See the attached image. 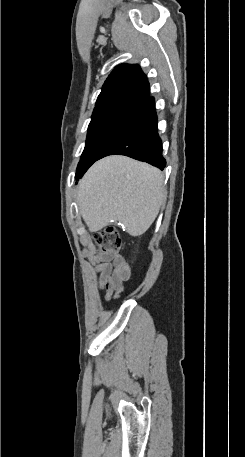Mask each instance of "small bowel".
Listing matches in <instances>:
<instances>
[{
	"mask_svg": "<svg viewBox=\"0 0 245 457\" xmlns=\"http://www.w3.org/2000/svg\"><path fill=\"white\" fill-rule=\"evenodd\" d=\"M90 264L98 275L97 288L105 291V299H117L124 289V283L131 277V268L126 259L120 254H101L91 256Z\"/></svg>",
	"mask_w": 245,
	"mask_h": 457,
	"instance_id": "1",
	"label": "small bowel"
}]
</instances>
